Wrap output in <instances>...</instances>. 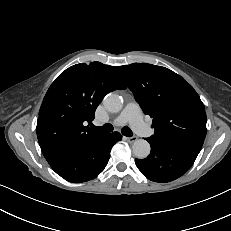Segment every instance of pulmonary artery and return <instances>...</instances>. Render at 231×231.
I'll return each instance as SVG.
<instances>
[{"label":"pulmonary artery","instance_id":"1","mask_svg":"<svg viewBox=\"0 0 231 231\" xmlns=\"http://www.w3.org/2000/svg\"><path fill=\"white\" fill-rule=\"evenodd\" d=\"M129 123L133 130L141 136L149 137L153 131L151 127L143 121L140 107L135 102L128 103L114 120L117 126Z\"/></svg>","mask_w":231,"mask_h":231}]
</instances>
